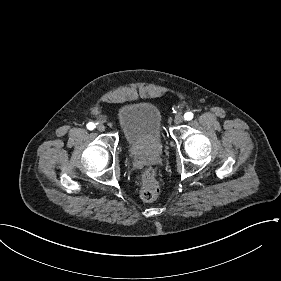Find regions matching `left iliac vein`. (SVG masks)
I'll return each instance as SVG.
<instances>
[{
  "mask_svg": "<svg viewBox=\"0 0 281 281\" xmlns=\"http://www.w3.org/2000/svg\"><path fill=\"white\" fill-rule=\"evenodd\" d=\"M183 120H184L183 115L178 114V115H176L175 118H174V123H175V124H180V123L183 122Z\"/></svg>",
  "mask_w": 281,
  "mask_h": 281,
  "instance_id": "1",
  "label": "left iliac vein"
}]
</instances>
